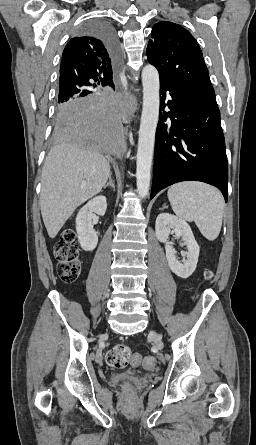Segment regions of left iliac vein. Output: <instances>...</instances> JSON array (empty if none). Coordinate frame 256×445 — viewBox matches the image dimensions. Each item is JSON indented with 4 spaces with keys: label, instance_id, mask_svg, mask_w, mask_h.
I'll use <instances>...</instances> for the list:
<instances>
[{
    "label": "left iliac vein",
    "instance_id": "4c4485c4",
    "mask_svg": "<svg viewBox=\"0 0 256 445\" xmlns=\"http://www.w3.org/2000/svg\"><path fill=\"white\" fill-rule=\"evenodd\" d=\"M151 336L153 337L155 344L157 345L161 344V337L156 332L152 331Z\"/></svg>",
    "mask_w": 256,
    "mask_h": 445
}]
</instances>
